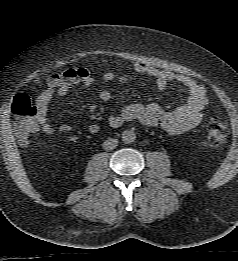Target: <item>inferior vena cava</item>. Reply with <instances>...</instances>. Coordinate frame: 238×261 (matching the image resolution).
<instances>
[{"label": "inferior vena cava", "mask_w": 238, "mask_h": 261, "mask_svg": "<svg viewBox=\"0 0 238 261\" xmlns=\"http://www.w3.org/2000/svg\"><path fill=\"white\" fill-rule=\"evenodd\" d=\"M117 145H118V140L114 138H110L103 143V148L108 151L114 149Z\"/></svg>", "instance_id": "inferior-vena-cava-1"}]
</instances>
